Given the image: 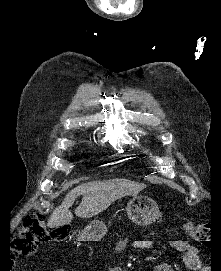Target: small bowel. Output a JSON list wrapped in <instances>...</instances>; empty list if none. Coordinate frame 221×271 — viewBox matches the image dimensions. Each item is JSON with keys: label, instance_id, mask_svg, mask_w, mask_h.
<instances>
[{"label": "small bowel", "instance_id": "1", "mask_svg": "<svg viewBox=\"0 0 221 271\" xmlns=\"http://www.w3.org/2000/svg\"><path fill=\"white\" fill-rule=\"evenodd\" d=\"M131 245L136 250H151L153 248V241L149 239H123L115 246L117 253L123 252L128 245ZM170 245L178 252L183 254L182 260L186 268L192 271H198L201 268L199 258V251L195 246L190 245L185 240L175 239L170 241ZM108 271H123L119 266H110ZM153 271H177L172 265L157 264L154 266Z\"/></svg>", "mask_w": 221, "mask_h": 271}]
</instances>
